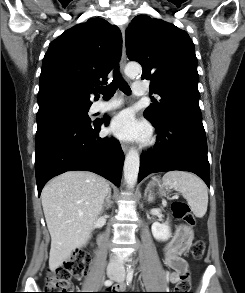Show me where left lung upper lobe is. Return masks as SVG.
<instances>
[{
    "instance_id": "left-lung-upper-lobe-1",
    "label": "left lung upper lobe",
    "mask_w": 245,
    "mask_h": 293,
    "mask_svg": "<svg viewBox=\"0 0 245 293\" xmlns=\"http://www.w3.org/2000/svg\"><path fill=\"white\" fill-rule=\"evenodd\" d=\"M126 53L142 65V79H150L153 100L144 115L159 121L167 113L183 112L201 118L197 58L187 32L173 24L138 15L125 33Z\"/></svg>"
}]
</instances>
